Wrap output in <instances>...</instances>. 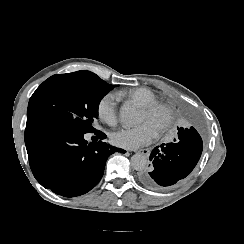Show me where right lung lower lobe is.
<instances>
[{
  "instance_id": "right-lung-lower-lobe-1",
  "label": "right lung lower lobe",
  "mask_w": 244,
  "mask_h": 244,
  "mask_svg": "<svg viewBox=\"0 0 244 244\" xmlns=\"http://www.w3.org/2000/svg\"><path fill=\"white\" fill-rule=\"evenodd\" d=\"M97 132L100 139L106 138ZM84 134L43 123L26 125L30 167L43 187L65 197L82 195L98 184L108 157L125 152L102 141L89 143Z\"/></svg>"
}]
</instances>
